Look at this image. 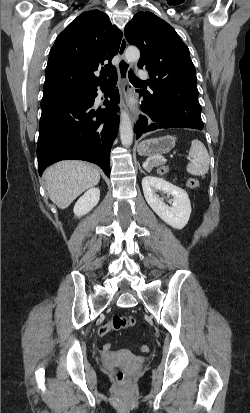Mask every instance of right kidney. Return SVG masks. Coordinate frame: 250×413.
Here are the masks:
<instances>
[{
	"label": "right kidney",
	"instance_id": "1",
	"mask_svg": "<svg viewBox=\"0 0 250 413\" xmlns=\"http://www.w3.org/2000/svg\"><path fill=\"white\" fill-rule=\"evenodd\" d=\"M100 200V190L99 188H91L81 196L73 209L75 216L81 217L89 213Z\"/></svg>",
	"mask_w": 250,
	"mask_h": 413
}]
</instances>
